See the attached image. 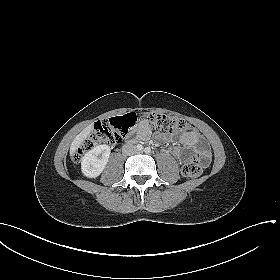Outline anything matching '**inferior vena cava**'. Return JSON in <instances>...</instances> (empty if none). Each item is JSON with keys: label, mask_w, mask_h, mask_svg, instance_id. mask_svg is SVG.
Wrapping results in <instances>:
<instances>
[{"label": "inferior vena cava", "mask_w": 280, "mask_h": 280, "mask_svg": "<svg viewBox=\"0 0 280 280\" xmlns=\"http://www.w3.org/2000/svg\"><path fill=\"white\" fill-rule=\"evenodd\" d=\"M122 152H123V154H125V155H130V154L136 152V148H135V146H133V145L127 144V145H124V146H123Z\"/></svg>", "instance_id": "obj_1"}]
</instances>
